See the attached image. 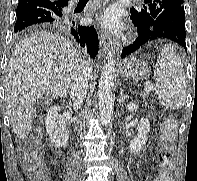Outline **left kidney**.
Masks as SVG:
<instances>
[{"instance_id": "obj_1", "label": "left kidney", "mask_w": 197, "mask_h": 181, "mask_svg": "<svg viewBox=\"0 0 197 181\" xmlns=\"http://www.w3.org/2000/svg\"><path fill=\"white\" fill-rule=\"evenodd\" d=\"M128 110L131 112L137 111L138 106L134 103L128 104ZM138 135L130 141V153L139 154L142 147L146 144L147 134L150 131V122L148 118H141L139 121L138 127Z\"/></svg>"}]
</instances>
